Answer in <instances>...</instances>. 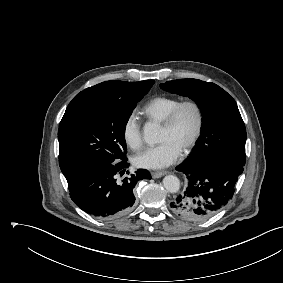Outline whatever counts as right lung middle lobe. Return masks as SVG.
Masks as SVG:
<instances>
[{"mask_svg":"<svg viewBox=\"0 0 283 283\" xmlns=\"http://www.w3.org/2000/svg\"><path fill=\"white\" fill-rule=\"evenodd\" d=\"M154 80L135 91L109 97H75L59 124V165L65 175L95 162L126 160L125 128L128 119Z\"/></svg>","mask_w":283,"mask_h":283,"instance_id":"dd1d6c3e","label":"right lung middle lobe"}]
</instances>
